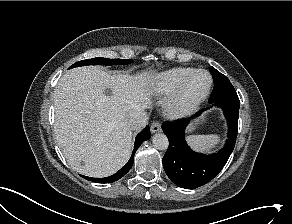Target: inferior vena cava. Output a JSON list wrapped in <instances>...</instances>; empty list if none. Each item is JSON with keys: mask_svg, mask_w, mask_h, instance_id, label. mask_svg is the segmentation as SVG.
<instances>
[{"mask_svg": "<svg viewBox=\"0 0 292 224\" xmlns=\"http://www.w3.org/2000/svg\"><path fill=\"white\" fill-rule=\"evenodd\" d=\"M143 109L130 114L128 119V125L132 130H138L144 123Z\"/></svg>", "mask_w": 292, "mask_h": 224, "instance_id": "inferior-vena-cava-1", "label": "inferior vena cava"}]
</instances>
